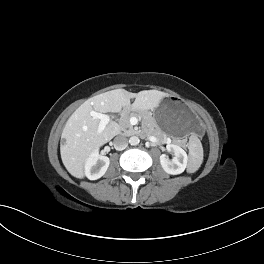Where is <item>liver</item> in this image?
Here are the masks:
<instances>
[{
  "label": "liver",
  "instance_id": "6515ba94",
  "mask_svg": "<svg viewBox=\"0 0 264 264\" xmlns=\"http://www.w3.org/2000/svg\"><path fill=\"white\" fill-rule=\"evenodd\" d=\"M166 96V93L157 90L131 93L116 89L85 101L69 117L61 135L65 142L60 145V154L67 171L76 178H84V164L88 156L119 133V125L114 121L109 122L102 133H98L100 120L94 119L91 111L117 113L129 107L132 98H135L132 109L153 110Z\"/></svg>",
  "mask_w": 264,
  "mask_h": 264
}]
</instances>
